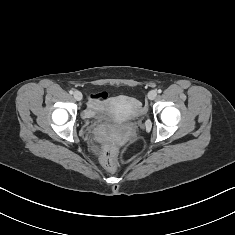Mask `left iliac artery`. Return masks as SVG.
<instances>
[{
    "label": "left iliac artery",
    "instance_id": "obj_1",
    "mask_svg": "<svg viewBox=\"0 0 235 235\" xmlns=\"http://www.w3.org/2000/svg\"><path fill=\"white\" fill-rule=\"evenodd\" d=\"M158 93H161L162 92V90L161 89H158V91H157Z\"/></svg>",
    "mask_w": 235,
    "mask_h": 235
}]
</instances>
